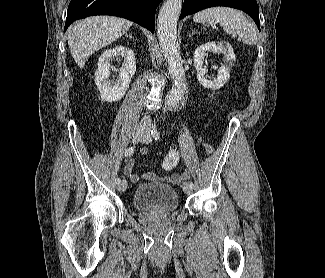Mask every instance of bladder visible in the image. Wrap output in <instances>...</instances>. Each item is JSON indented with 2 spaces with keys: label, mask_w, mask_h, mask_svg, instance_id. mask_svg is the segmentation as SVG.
I'll return each mask as SVG.
<instances>
[{
  "label": "bladder",
  "mask_w": 325,
  "mask_h": 278,
  "mask_svg": "<svg viewBox=\"0 0 325 278\" xmlns=\"http://www.w3.org/2000/svg\"><path fill=\"white\" fill-rule=\"evenodd\" d=\"M133 205L144 212H173L179 207V199L174 187L159 182H147L137 186Z\"/></svg>",
  "instance_id": "31cf9c89"
}]
</instances>
